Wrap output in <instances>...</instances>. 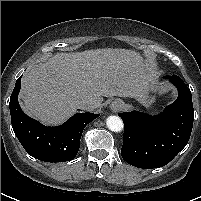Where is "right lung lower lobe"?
<instances>
[{
  "instance_id": "1",
  "label": "right lung lower lobe",
  "mask_w": 201,
  "mask_h": 201,
  "mask_svg": "<svg viewBox=\"0 0 201 201\" xmlns=\"http://www.w3.org/2000/svg\"><path fill=\"white\" fill-rule=\"evenodd\" d=\"M21 76L10 97L11 123L14 133L26 152L41 161H70L78 153L85 126L98 114L77 113L59 127H47L27 116L18 102Z\"/></svg>"
}]
</instances>
